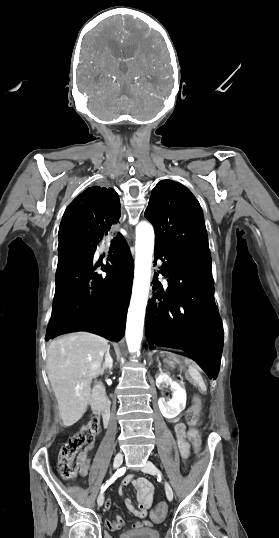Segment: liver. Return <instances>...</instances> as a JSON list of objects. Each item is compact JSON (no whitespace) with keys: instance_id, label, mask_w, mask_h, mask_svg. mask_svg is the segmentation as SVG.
Instances as JSON below:
<instances>
[{"instance_id":"liver-1","label":"liver","mask_w":279,"mask_h":538,"mask_svg":"<svg viewBox=\"0 0 279 538\" xmlns=\"http://www.w3.org/2000/svg\"><path fill=\"white\" fill-rule=\"evenodd\" d=\"M108 340L75 332L60 336L47 350V374L64 426H73L86 412L91 382L102 374L101 364Z\"/></svg>"}]
</instances>
